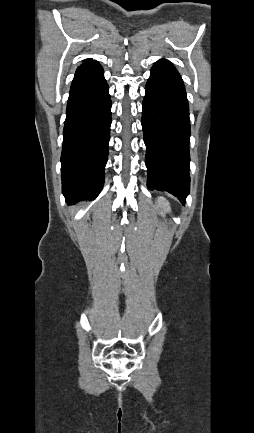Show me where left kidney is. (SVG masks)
<instances>
[{
	"mask_svg": "<svg viewBox=\"0 0 254 433\" xmlns=\"http://www.w3.org/2000/svg\"><path fill=\"white\" fill-rule=\"evenodd\" d=\"M158 203H159V207L161 208V214L162 215H164L166 212L171 211L170 204L165 198L159 197Z\"/></svg>",
	"mask_w": 254,
	"mask_h": 433,
	"instance_id": "left-kidney-1",
	"label": "left kidney"
}]
</instances>
